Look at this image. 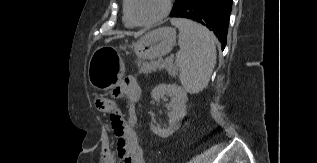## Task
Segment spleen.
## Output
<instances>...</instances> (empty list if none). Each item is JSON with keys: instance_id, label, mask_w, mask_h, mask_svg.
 I'll list each match as a JSON object with an SVG mask.
<instances>
[{"instance_id": "spleen-1", "label": "spleen", "mask_w": 317, "mask_h": 163, "mask_svg": "<svg viewBox=\"0 0 317 163\" xmlns=\"http://www.w3.org/2000/svg\"><path fill=\"white\" fill-rule=\"evenodd\" d=\"M179 29V47L176 63L184 89L199 93L207 87L216 64L213 34L202 25L182 18L171 19Z\"/></svg>"}]
</instances>
